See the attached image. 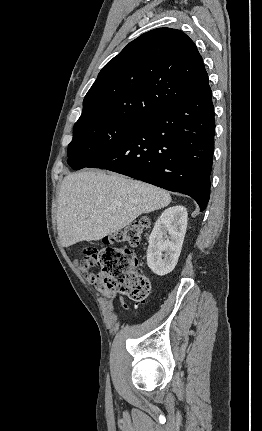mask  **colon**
I'll use <instances>...</instances> for the list:
<instances>
[{"mask_svg": "<svg viewBox=\"0 0 262 431\" xmlns=\"http://www.w3.org/2000/svg\"><path fill=\"white\" fill-rule=\"evenodd\" d=\"M149 226L148 219L140 220L107 236L104 245L95 253L84 249L77 259L79 271L84 275L90 274L110 291L126 294L133 301L144 302L150 293V282L137 270L138 259L129 247L140 244ZM92 267L99 270L93 272Z\"/></svg>", "mask_w": 262, "mask_h": 431, "instance_id": "colon-1", "label": "colon"}]
</instances>
